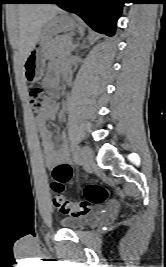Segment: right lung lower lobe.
Listing matches in <instances>:
<instances>
[{
  "mask_svg": "<svg viewBox=\"0 0 166 267\" xmlns=\"http://www.w3.org/2000/svg\"><path fill=\"white\" fill-rule=\"evenodd\" d=\"M42 0H26V3H39Z\"/></svg>",
  "mask_w": 166,
  "mask_h": 267,
  "instance_id": "98d812e1",
  "label": "right lung lower lobe"
}]
</instances>
